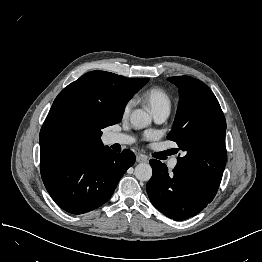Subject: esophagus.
I'll return each instance as SVG.
<instances>
[{
	"instance_id": "obj_1",
	"label": "esophagus",
	"mask_w": 262,
	"mask_h": 262,
	"mask_svg": "<svg viewBox=\"0 0 262 262\" xmlns=\"http://www.w3.org/2000/svg\"><path fill=\"white\" fill-rule=\"evenodd\" d=\"M148 161L147 156L143 155V154H139L136 156V162L138 163H146Z\"/></svg>"
}]
</instances>
